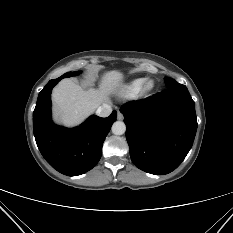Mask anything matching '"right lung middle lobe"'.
Instances as JSON below:
<instances>
[{
  "instance_id": "1",
  "label": "right lung middle lobe",
  "mask_w": 233,
  "mask_h": 233,
  "mask_svg": "<svg viewBox=\"0 0 233 233\" xmlns=\"http://www.w3.org/2000/svg\"><path fill=\"white\" fill-rule=\"evenodd\" d=\"M81 71H76V72H68V73H65L64 75H62L61 77H59L58 79H62V78H65V77H72V76H76L78 74H80Z\"/></svg>"
}]
</instances>
